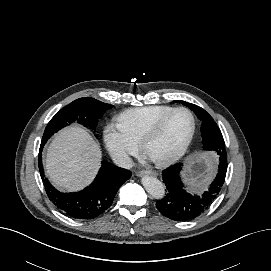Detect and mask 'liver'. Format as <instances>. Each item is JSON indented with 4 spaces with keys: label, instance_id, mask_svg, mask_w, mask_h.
<instances>
[{
    "label": "liver",
    "instance_id": "1",
    "mask_svg": "<svg viewBox=\"0 0 271 271\" xmlns=\"http://www.w3.org/2000/svg\"><path fill=\"white\" fill-rule=\"evenodd\" d=\"M101 158L100 146L85 129L68 127L48 147L46 172L56 187L77 191L93 181Z\"/></svg>",
    "mask_w": 271,
    "mask_h": 271
}]
</instances>
